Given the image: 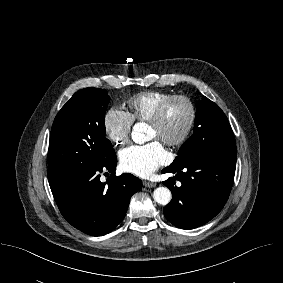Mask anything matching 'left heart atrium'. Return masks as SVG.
<instances>
[{"instance_id": "1", "label": "left heart atrium", "mask_w": 283, "mask_h": 283, "mask_svg": "<svg viewBox=\"0 0 283 283\" xmlns=\"http://www.w3.org/2000/svg\"><path fill=\"white\" fill-rule=\"evenodd\" d=\"M167 159L168 153L157 140L131 146L120 153V163L123 170L140 177H149Z\"/></svg>"}]
</instances>
